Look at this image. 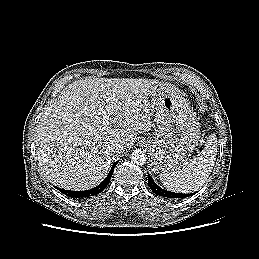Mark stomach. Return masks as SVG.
<instances>
[{
    "label": "stomach",
    "instance_id": "1",
    "mask_svg": "<svg viewBox=\"0 0 259 259\" xmlns=\"http://www.w3.org/2000/svg\"><path fill=\"white\" fill-rule=\"evenodd\" d=\"M159 135L141 141L151 155V169L169 173L183 165L200 139V127L181 91L168 83L153 87Z\"/></svg>",
    "mask_w": 259,
    "mask_h": 259
}]
</instances>
